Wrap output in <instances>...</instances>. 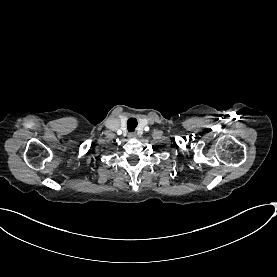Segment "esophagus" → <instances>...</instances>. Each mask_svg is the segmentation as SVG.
Wrapping results in <instances>:
<instances>
[{
	"label": "esophagus",
	"mask_w": 277,
	"mask_h": 277,
	"mask_svg": "<svg viewBox=\"0 0 277 277\" xmlns=\"http://www.w3.org/2000/svg\"><path fill=\"white\" fill-rule=\"evenodd\" d=\"M128 138H129V139H136V138H137V134H136L135 132H130V133L128 134Z\"/></svg>",
	"instance_id": "esophagus-1"
}]
</instances>
